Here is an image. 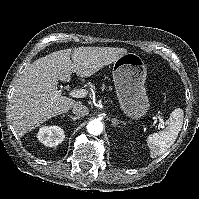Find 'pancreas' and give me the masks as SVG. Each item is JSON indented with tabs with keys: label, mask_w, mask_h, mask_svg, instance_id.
Wrapping results in <instances>:
<instances>
[{
	"label": "pancreas",
	"mask_w": 199,
	"mask_h": 199,
	"mask_svg": "<svg viewBox=\"0 0 199 199\" xmlns=\"http://www.w3.org/2000/svg\"><path fill=\"white\" fill-rule=\"evenodd\" d=\"M91 86V90H94L95 89V86H93V85H90ZM105 87H104V85H103V87H102V89H104ZM109 90H112L111 89V87H109Z\"/></svg>",
	"instance_id": "obj_1"
}]
</instances>
